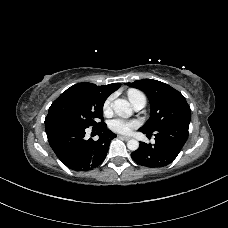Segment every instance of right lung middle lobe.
Wrapping results in <instances>:
<instances>
[{
  "label": "right lung middle lobe",
  "instance_id": "obj_1",
  "mask_svg": "<svg viewBox=\"0 0 228 228\" xmlns=\"http://www.w3.org/2000/svg\"><path fill=\"white\" fill-rule=\"evenodd\" d=\"M107 97L79 84L63 92L50 106L45 121L62 119L88 128L103 119V104Z\"/></svg>",
  "mask_w": 228,
  "mask_h": 228
}]
</instances>
